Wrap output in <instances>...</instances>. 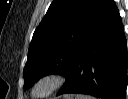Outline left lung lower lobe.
Masks as SVG:
<instances>
[{"label":"left lung lower lobe","mask_w":128,"mask_h":99,"mask_svg":"<svg viewBox=\"0 0 128 99\" xmlns=\"http://www.w3.org/2000/svg\"><path fill=\"white\" fill-rule=\"evenodd\" d=\"M127 41L118 8L109 0L99 22L64 74L57 95L89 94L102 99H125Z\"/></svg>","instance_id":"0a47b994"}]
</instances>
